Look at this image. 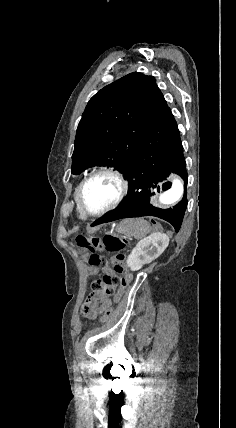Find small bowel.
<instances>
[{"label": "small bowel", "mask_w": 236, "mask_h": 428, "mask_svg": "<svg viewBox=\"0 0 236 428\" xmlns=\"http://www.w3.org/2000/svg\"><path fill=\"white\" fill-rule=\"evenodd\" d=\"M98 299H99V302H100L102 305H104V306H108V305H110V300H109L106 296L101 295V296H99V297H98Z\"/></svg>", "instance_id": "c3829d8e"}]
</instances>
